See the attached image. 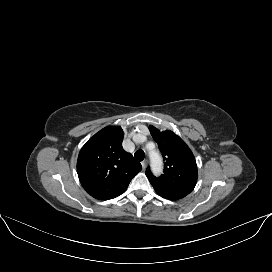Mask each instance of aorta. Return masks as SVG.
Here are the masks:
<instances>
[{"instance_id":"obj_1","label":"aorta","mask_w":272,"mask_h":272,"mask_svg":"<svg viewBox=\"0 0 272 272\" xmlns=\"http://www.w3.org/2000/svg\"><path fill=\"white\" fill-rule=\"evenodd\" d=\"M149 158L153 173L156 175L160 174L163 169V164L159 152L156 151L155 149L149 150Z\"/></svg>"}]
</instances>
